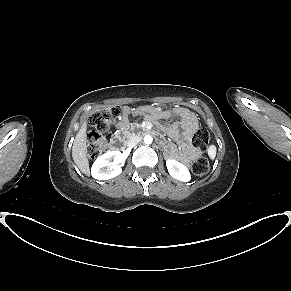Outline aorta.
<instances>
[{"label":"aorta","instance_id":"aorta-1","mask_svg":"<svg viewBox=\"0 0 291 291\" xmlns=\"http://www.w3.org/2000/svg\"><path fill=\"white\" fill-rule=\"evenodd\" d=\"M152 142H153V138H152L151 135H146V136L144 137V143H145V144H151Z\"/></svg>","mask_w":291,"mask_h":291}]
</instances>
